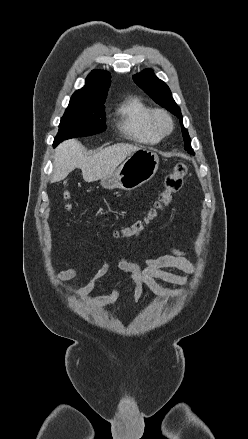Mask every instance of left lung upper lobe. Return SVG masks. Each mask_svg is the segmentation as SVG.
<instances>
[{
  "mask_svg": "<svg viewBox=\"0 0 248 439\" xmlns=\"http://www.w3.org/2000/svg\"><path fill=\"white\" fill-rule=\"evenodd\" d=\"M133 80L157 104L166 108L180 119L185 150L191 154H194L191 148V139L188 131L183 127L182 124L183 117L181 110L173 100L169 87L162 80L158 79L151 69H145L141 73L136 74L133 77Z\"/></svg>",
  "mask_w": 248,
  "mask_h": 439,
  "instance_id": "obj_1",
  "label": "left lung upper lobe"
}]
</instances>
